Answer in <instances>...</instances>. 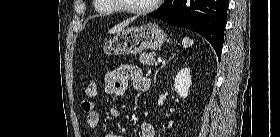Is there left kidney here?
I'll return each instance as SVG.
<instances>
[{
	"mask_svg": "<svg viewBox=\"0 0 280 137\" xmlns=\"http://www.w3.org/2000/svg\"><path fill=\"white\" fill-rule=\"evenodd\" d=\"M192 84L191 75H190V69L183 68L181 69L175 78L174 81V88L178 95L185 99L188 96L189 88ZM173 122L170 121L168 128L172 127Z\"/></svg>",
	"mask_w": 280,
	"mask_h": 137,
	"instance_id": "left-kidney-1",
	"label": "left kidney"
}]
</instances>
